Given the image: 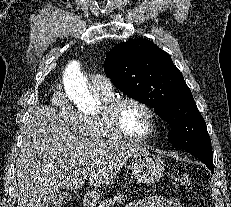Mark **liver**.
<instances>
[{
  "label": "liver",
  "instance_id": "liver-1",
  "mask_svg": "<svg viewBox=\"0 0 231 207\" xmlns=\"http://www.w3.org/2000/svg\"><path fill=\"white\" fill-rule=\"evenodd\" d=\"M139 150L132 144L81 138L55 109L38 105L24 128L16 159L17 207H50L59 188H80L84 175H89L90 186L106 185Z\"/></svg>",
  "mask_w": 231,
  "mask_h": 207
}]
</instances>
